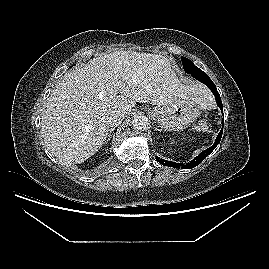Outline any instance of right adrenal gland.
Instances as JSON below:
<instances>
[{
    "instance_id": "1",
    "label": "right adrenal gland",
    "mask_w": 269,
    "mask_h": 269,
    "mask_svg": "<svg viewBox=\"0 0 269 269\" xmlns=\"http://www.w3.org/2000/svg\"><path fill=\"white\" fill-rule=\"evenodd\" d=\"M113 131H114V128H111V129L109 130L108 138H107V140H106L105 143H108V142L110 141V139H111V134H112Z\"/></svg>"
}]
</instances>
